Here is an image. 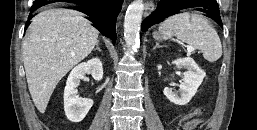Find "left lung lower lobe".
I'll return each mask as SVG.
<instances>
[{
    "instance_id": "obj_1",
    "label": "left lung lower lobe",
    "mask_w": 257,
    "mask_h": 130,
    "mask_svg": "<svg viewBox=\"0 0 257 130\" xmlns=\"http://www.w3.org/2000/svg\"><path fill=\"white\" fill-rule=\"evenodd\" d=\"M186 8H197L198 11L206 13L208 17L216 21L223 28L219 6L216 0H161L157 9L144 19L142 31L176 14L179 10Z\"/></svg>"
}]
</instances>
